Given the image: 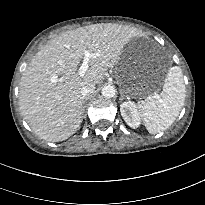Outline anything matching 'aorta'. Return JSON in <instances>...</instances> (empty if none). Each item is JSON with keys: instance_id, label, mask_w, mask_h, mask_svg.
<instances>
[{"instance_id": "762f6f07", "label": "aorta", "mask_w": 205, "mask_h": 205, "mask_svg": "<svg viewBox=\"0 0 205 205\" xmlns=\"http://www.w3.org/2000/svg\"><path fill=\"white\" fill-rule=\"evenodd\" d=\"M115 94L116 88L111 84H107L102 88V95L106 98H113Z\"/></svg>"}]
</instances>
